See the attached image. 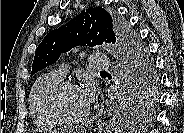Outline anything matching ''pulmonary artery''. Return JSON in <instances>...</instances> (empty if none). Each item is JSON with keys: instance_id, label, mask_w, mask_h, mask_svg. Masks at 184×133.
I'll return each instance as SVG.
<instances>
[{"instance_id": "pulmonary-artery-1", "label": "pulmonary artery", "mask_w": 184, "mask_h": 133, "mask_svg": "<svg viewBox=\"0 0 184 133\" xmlns=\"http://www.w3.org/2000/svg\"><path fill=\"white\" fill-rule=\"evenodd\" d=\"M88 64L94 70H110L113 68L112 60L105 56L99 54H92L88 58ZM62 76H65L68 73V67L62 65L58 71Z\"/></svg>"}]
</instances>
